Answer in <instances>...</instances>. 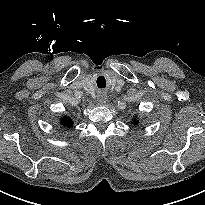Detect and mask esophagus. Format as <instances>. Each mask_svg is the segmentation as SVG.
<instances>
[{
  "instance_id": "obj_1",
  "label": "esophagus",
  "mask_w": 205,
  "mask_h": 205,
  "mask_svg": "<svg viewBox=\"0 0 205 205\" xmlns=\"http://www.w3.org/2000/svg\"><path fill=\"white\" fill-rule=\"evenodd\" d=\"M106 100H107L106 96L103 95L100 98H98V103L104 105L106 103Z\"/></svg>"
}]
</instances>
